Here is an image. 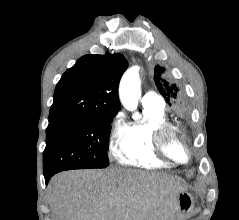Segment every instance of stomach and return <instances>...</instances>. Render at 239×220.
Returning a JSON list of instances; mask_svg holds the SVG:
<instances>
[{"mask_svg": "<svg viewBox=\"0 0 239 220\" xmlns=\"http://www.w3.org/2000/svg\"><path fill=\"white\" fill-rule=\"evenodd\" d=\"M178 212L181 216L189 213L194 207L193 197L187 192L177 195Z\"/></svg>", "mask_w": 239, "mask_h": 220, "instance_id": "1", "label": "stomach"}]
</instances>
